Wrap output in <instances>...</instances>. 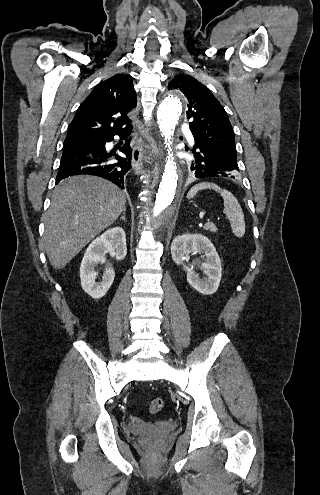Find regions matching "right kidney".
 Returning <instances> with one entry per match:
<instances>
[{"mask_svg": "<svg viewBox=\"0 0 320 495\" xmlns=\"http://www.w3.org/2000/svg\"><path fill=\"white\" fill-rule=\"evenodd\" d=\"M110 253L117 260H123L127 254L126 234L121 227H114L105 231L94 239L88 246L80 266L82 289L92 298L103 297L115 277L114 269L107 267L101 281H97L96 267L106 261L105 255Z\"/></svg>", "mask_w": 320, "mask_h": 495, "instance_id": "1", "label": "right kidney"}]
</instances>
